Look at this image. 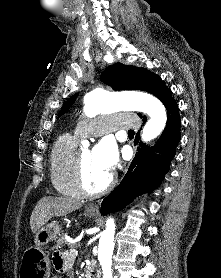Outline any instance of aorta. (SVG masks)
Segmentation results:
<instances>
[{
	"mask_svg": "<svg viewBox=\"0 0 221 278\" xmlns=\"http://www.w3.org/2000/svg\"><path fill=\"white\" fill-rule=\"evenodd\" d=\"M130 109L147 114L150 119L142 130V140L149 142L163 131L167 114L163 104L155 97L145 93H134L127 98L117 99L112 94L95 89L84 97V113L93 118L99 113ZM115 222L113 218L106 221L98 246V260L102 267L103 277L112 278L111 266L114 251Z\"/></svg>",
	"mask_w": 221,
	"mask_h": 278,
	"instance_id": "aorta-1",
	"label": "aorta"
}]
</instances>
